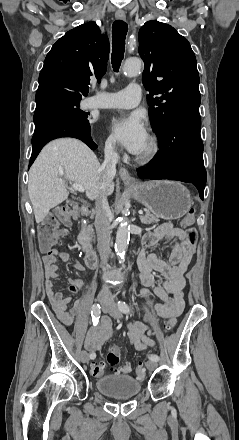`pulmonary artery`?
<instances>
[{"instance_id":"1","label":"pulmonary artery","mask_w":239,"mask_h":440,"mask_svg":"<svg viewBox=\"0 0 239 440\" xmlns=\"http://www.w3.org/2000/svg\"><path fill=\"white\" fill-rule=\"evenodd\" d=\"M141 88L137 84H131L117 93L97 92L95 96L85 101L87 109H111V108H133L139 104Z\"/></svg>"}]
</instances>
